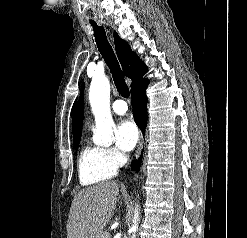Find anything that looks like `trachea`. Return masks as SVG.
<instances>
[{
	"label": "trachea",
	"mask_w": 247,
	"mask_h": 238,
	"mask_svg": "<svg viewBox=\"0 0 247 238\" xmlns=\"http://www.w3.org/2000/svg\"><path fill=\"white\" fill-rule=\"evenodd\" d=\"M90 23L94 29V36L98 50L112 73L113 80L118 92L123 97H128L130 95L129 88L125 83L124 75L115 56V53L107 40L104 28L98 27L94 21H90Z\"/></svg>",
	"instance_id": "3493384b"
}]
</instances>
